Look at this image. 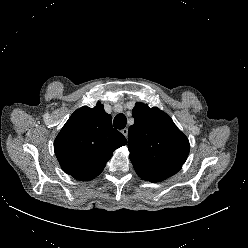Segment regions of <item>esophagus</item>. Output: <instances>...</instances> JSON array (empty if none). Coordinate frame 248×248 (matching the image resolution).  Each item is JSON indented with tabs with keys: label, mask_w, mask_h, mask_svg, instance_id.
Segmentation results:
<instances>
[{
	"label": "esophagus",
	"mask_w": 248,
	"mask_h": 248,
	"mask_svg": "<svg viewBox=\"0 0 248 248\" xmlns=\"http://www.w3.org/2000/svg\"><path fill=\"white\" fill-rule=\"evenodd\" d=\"M121 133H122L125 137H127V136H128V129H127V128L122 129V130H121Z\"/></svg>",
	"instance_id": "34e87169"
}]
</instances>
